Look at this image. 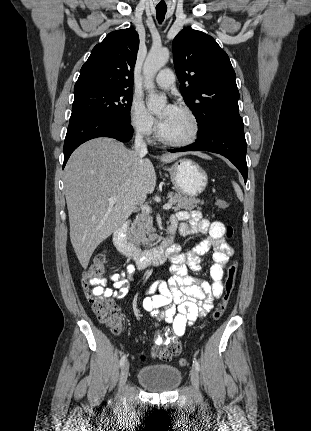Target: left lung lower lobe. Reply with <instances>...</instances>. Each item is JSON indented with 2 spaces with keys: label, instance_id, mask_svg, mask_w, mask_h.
I'll use <instances>...</instances> for the list:
<instances>
[{
  "label": "left lung lower lobe",
  "instance_id": "0a47b994",
  "mask_svg": "<svg viewBox=\"0 0 311 431\" xmlns=\"http://www.w3.org/2000/svg\"><path fill=\"white\" fill-rule=\"evenodd\" d=\"M170 152L210 151L228 158L247 181L246 140L240 116H229L216 122L189 146L169 149Z\"/></svg>",
  "mask_w": 311,
  "mask_h": 431
}]
</instances>
